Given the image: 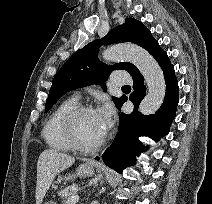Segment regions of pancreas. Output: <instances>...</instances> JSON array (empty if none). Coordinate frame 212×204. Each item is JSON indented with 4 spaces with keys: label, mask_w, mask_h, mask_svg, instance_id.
<instances>
[{
    "label": "pancreas",
    "mask_w": 212,
    "mask_h": 204,
    "mask_svg": "<svg viewBox=\"0 0 212 204\" xmlns=\"http://www.w3.org/2000/svg\"><path fill=\"white\" fill-rule=\"evenodd\" d=\"M78 187L77 185H71L63 190L58 192V195L63 199L64 204H66L67 200L72 196L77 195Z\"/></svg>",
    "instance_id": "pancreas-1"
}]
</instances>
